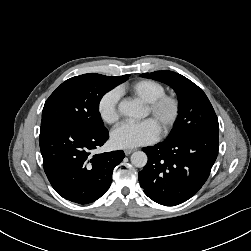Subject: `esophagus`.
<instances>
[{
    "label": "esophagus",
    "instance_id": "obj_1",
    "mask_svg": "<svg viewBox=\"0 0 251 251\" xmlns=\"http://www.w3.org/2000/svg\"><path fill=\"white\" fill-rule=\"evenodd\" d=\"M133 152H134L133 149H126V150H124L125 155H130Z\"/></svg>",
    "mask_w": 251,
    "mask_h": 251
}]
</instances>
